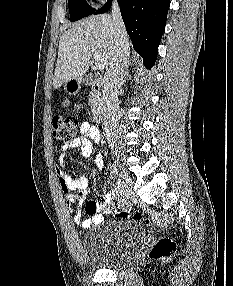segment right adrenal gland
Returning <instances> with one entry per match:
<instances>
[{
    "mask_svg": "<svg viewBox=\"0 0 233 286\" xmlns=\"http://www.w3.org/2000/svg\"><path fill=\"white\" fill-rule=\"evenodd\" d=\"M127 76H128V69H127V71H126V79H127Z\"/></svg>",
    "mask_w": 233,
    "mask_h": 286,
    "instance_id": "right-adrenal-gland-1",
    "label": "right adrenal gland"
}]
</instances>
